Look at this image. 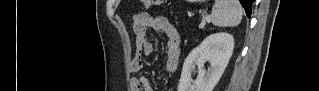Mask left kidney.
<instances>
[{
  "label": "left kidney",
  "mask_w": 319,
  "mask_h": 91,
  "mask_svg": "<svg viewBox=\"0 0 319 91\" xmlns=\"http://www.w3.org/2000/svg\"><path fill=\"white\" fill-rule=\"evenodd\" d=\"M234 49V38L228 33H214L207 36L187 56L178 84V91H213L219 82ZM208 61L210 68L204 69ZM198 67V76L192 83V73Z\"/></svg>",
  "instance_id": "1"
}]
</instances>
